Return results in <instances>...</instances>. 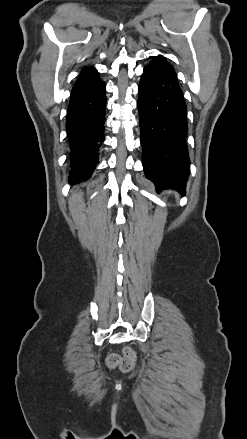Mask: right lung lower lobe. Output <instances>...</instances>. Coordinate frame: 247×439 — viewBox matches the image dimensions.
<instances>
[{"label":"right lung lower lobe","mask_w":247,"mask_h":439,"mask_svg":"<svg viewBox=\"0 0 247 439\" xmlns=\"http://www.w3.org/2000/svg\"><path fill=\"white\" fill-rule=\"evenodd\" d=\"M105 83L71 92L67 133L71 147L70 183L89 178L98 163V148L104 140Z\"/></svg>","instance_id":"98d812e1"}]
</instances>
